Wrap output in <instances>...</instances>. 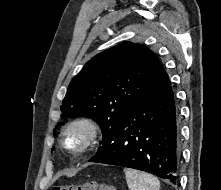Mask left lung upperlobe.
<instances>
[{"label":"left lung upper lobe","mask_w":221,"mask_h":190,"mask_svg":"<svg viewBox=\"0 0 221 190\" xmlns=\"http://www.w3.org/2000/svg\"><path fill=\"white\" fill-rule=\"evenodd\" d=\"M163 72L162 64L145 45L118 44L97 54L72 79L61 117L85 116L96 121L103 146L108 132L139 104Z\"/></svg>","instance_id":"left-lung-upper-lobe-1"}]
</instances>
